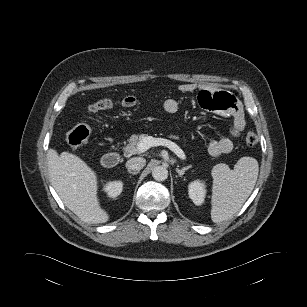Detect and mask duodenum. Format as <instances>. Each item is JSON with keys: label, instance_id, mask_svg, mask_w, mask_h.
<instances>
[{"label": "duodenum", "instance_id": "1", "mask_svg": "<svg viewBox=\"0 0 307 307\" xmlns=\"http://www.w3.org/2000/svg\"><path fill=\"white\" fill-rule=\"evenodd\" d=\"M102 165L105 168H113L120 162V155L117 152H108L101 159Z\"/></svg>", "mask_w": 307, "mask_h": 307}]
</instances>
